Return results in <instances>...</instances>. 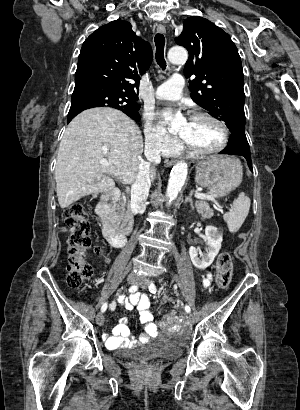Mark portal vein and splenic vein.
Masks as SVG:
<instances>
[{
  "label": "portal vein and splenic vein",
  "mask_w": 300,
  "mask_h": 410,
  "mask_svg": "<svg viewBox=\"0 0 300 410\" xmlns=\"http://www.w3.org/2000/svg\"><path fill=\"white\" fill-rule=\"evenodd\" d=\"M100 164L102 165H108L111 163V160H106V159H101ZM195 197L198 199H207V200H214L215 195H206L203 193H195Z\"/></svg>",
  "instance_id": "obj_1"
}]
</instances>
